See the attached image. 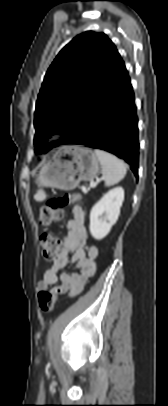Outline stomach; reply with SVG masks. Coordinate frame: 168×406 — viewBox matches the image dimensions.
I'll use <instances>...</instances> for the list:
<instances>
[{
	"instance_id": "0dacf381",
	"label": "stomach",
	"mask_w": 168,
	"mask_h": 406,
	"mask_svg": "<svg viewBox=\"0 0 168 406\" xmlns=\"http://www.w3.org/2000/svg\"><path fill=\"white\" fill-rule=\"evenodd\" d=\"M99 169V160L91 149L64 146L45 163L36 183L41 187L73 190L81 181H92Z\"/></svg>"
}]
</instances>
